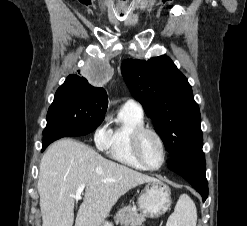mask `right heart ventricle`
I'll return each instance as SVG.
<instances>
[{
	"instance_id": "1",
	"label": "right heart ventricle",
	"mask_w": 247,
	"mask_h": 226,
	"mask_svg": "<svg viewBox=\"0 0 247 226\" xmlns=\"http://www.w3.org/2000/svg\"><path fill=\"white\" fill-rule=\"evenodd\" d=\"M144 126L143 112L124 105L109 127V140L104 148L113 160L138 170L145 168L135 159L131 149L132 133Z\"/></svg>"
}]
</instances>
